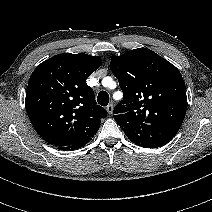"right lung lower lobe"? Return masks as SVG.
Returning <instances> with one entry per match:
<instances>
[{
	"label": "right lung lower lobe",
	"instance_id": "1",
	"mask_svg": "<svg viewBox=\"0 0 212 212\" xmlns=\"http://www.w3.org/2000/svg\"><path fill=\"white\" fill-rule=\"evenodd\" d=\"M85 144H73V145H67V146H60V147H57V149H59V150H75L80 147H83Z\"/></svg>",
	"mask_w": 212,
	"mask_h": 212
}]
</instances>
